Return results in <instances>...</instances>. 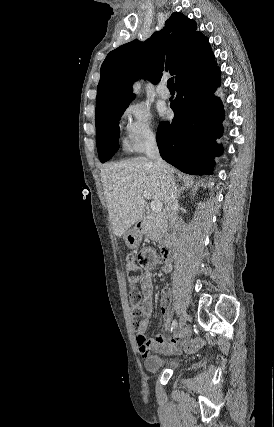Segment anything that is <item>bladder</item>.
I'll use <instances>...</instances> for the list:
<instances>
[{
    "mask_svg": "<svg viewBox=\"0 0 274 427\" xmlns=\"http://www.w3.org/2000/svg\"><path fill=\"white\" fill-rule=\"evenodd\" d=\"M178 357H162L157 354H150L146 357L144 368L148 374H155L159 372H167L177 367Z\"/></svg>",
    "mask_w": 274,
    "mask_h": 427,
    "instance_id": "1",
    "label": "bladder"
}]
</instances>
